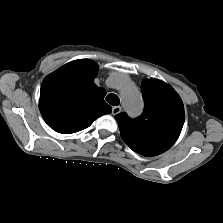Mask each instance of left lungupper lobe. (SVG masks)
Returning <instances> with one entry per match:
<instances>
[{
	"label": "left lung upper lobe",
	"instance_id": "5c2ea615",
	"mask_svg": "<svg viewBox=\"0 0 223 223\" xmlns=\"http://www.w3.org/2000/svg\"><path fill=\"white\" fill-rule=\"evenodd\" d=\"M145 102L143 113L130 119L126 113L115 116L122 139L135 152L156 156L168 150L182 130L185 114L178 94L157 79H145L141 84Z\"/></svg>",
	"mask_w": 223,
	"mask_h": 223
}]
</instances>
